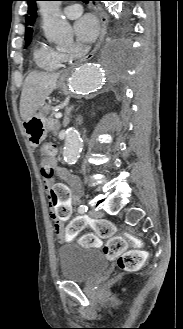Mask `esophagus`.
<instances>
[{"mask_svg":"<svg viewBox=\"0 0 183 329\" xmlns=\"http://www.w3.org/2000/svg\"><path fill=\"white\" fill-rule=\"evenodd\" d=\"M92 8L96 12V14L99 16V19H100V24H101L100 35H99L98 41H97L96 45L94 46L93 50L88 55L84 56L83 59L81 61H79V63L82 62V61H87L95 55L97 50L102 45V43L104 41V38H105V35H106V32H107L108 19H107L106 15L104 14L102 8L96 2L92 3ZM70 69H68L62 75L61 80L65 79L66 74L70 71Z\"/></svg>","mask_w":183,"mask_h":329,"instance_id":"obj_1","label":"esophagus"}]
</instances>
